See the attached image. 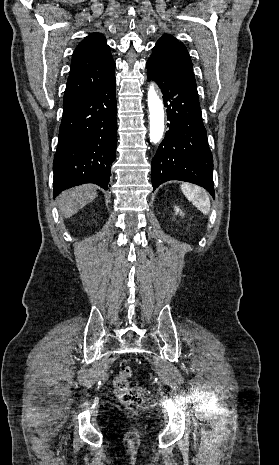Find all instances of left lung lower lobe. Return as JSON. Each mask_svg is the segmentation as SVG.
Wrapping results in <instances>:
<instances>
[{"instance_id": "left-lung-lower-lobe-1", "label": "left lung lower lobe", "mask_w": 279, "mask_h": 465, "mask_svg": "<svg viewBox=\"0 0 279 465\" xmlns=\"http://www.w3.org/2000/svg\"><path fill=\"white\" fill-rule=\"evenodd\" d=\"M147 77L160 87L169 120L152 160L154 190L166 181L181 180L200 185L214 196L213 159L194 75L149 58Z\"/></svg>"}]
</instances>
